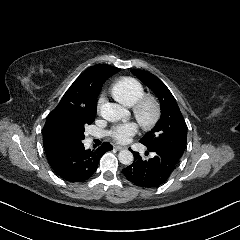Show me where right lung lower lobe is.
<instances>
[{
  "label": "right lung lower lobe",
  "mask_w": 240,
  "mask_h": 240,
  "mask_svg": "<svg viewBox=\"0 0 240 240\" xmlns=\"http://www.w3.org/2000/svg\"><path fill=\"white\" fill-rule=\"evenodd\" d=\"M112 145L104 143L96 150H86L84 144L78 146H59L45 150L53 171L69 182H82L97 170L103 154L112 150Z\"/></svg>",
  "instance_id": "obj_1"
}]
</instances>
